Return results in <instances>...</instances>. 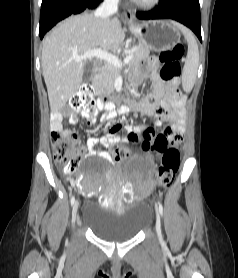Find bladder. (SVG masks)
Instances as JSON below:
<instances>
[{
	"label": "bladder",
	"instance_id": "1",
	"mask_svg": "<svg viewBox=\"0 0 238 278\" xmlns=\"http://www.w3.org/2000/svg\"><path fill=\"white\" fill-rule=\"evenodd\" d=\"M149 204L138 201L128 204L122 212L98 204H84L82 225L98 239L107 242H124L137 237L151 222Z\"/></svg>",
	"mask_w": 238,
	"mask_h": 278
}]
</instances>
